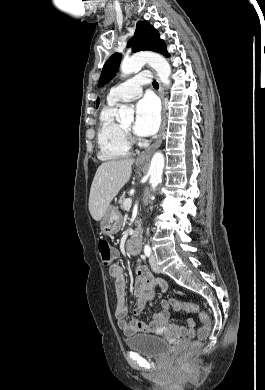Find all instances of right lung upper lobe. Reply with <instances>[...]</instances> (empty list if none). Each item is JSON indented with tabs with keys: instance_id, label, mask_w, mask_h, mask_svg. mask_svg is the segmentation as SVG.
I'll return each instance as SVG.
<instances>
[{
	"instance_id": "cb5924a9",
	"label": "right lung upper lobe",
	"mask_w": 265,
	"mask_h": 390,
	"mask_svg": "<svg viewBox=\"0 0 265 390\" xmlns=\"http://www.w3.org/2000/svg\"><path fill=\"white\" fill-rule=\"evenodd\" d=\"M96 105H97V107H98V105H99V99H97Z\"/></svg>"
}]
</instances>
